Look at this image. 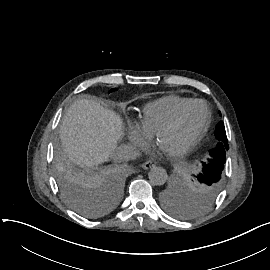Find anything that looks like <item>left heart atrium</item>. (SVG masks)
I'll return each instance as SVG.
<instances>
[{
  "mask_svg": "<svg viewBox=\"0 0 270 270\" xmlns=\"http://www.w3.org/2000/svg\"><path fill=\"white\" fill-rule=\"evenodd\" d=\"M174 151L175 150L171 146H169L163 142H159V143L154 144L147 151V155L150 158L157 159V158L163 157L165 155H171L174 153Z\"/></svg>",
  "mask_w": 270,
  "mask_h": 270,
  "instance_id": "left-heart-atrium-1",
  "label": "left heart atrium"
}]
</instances>
